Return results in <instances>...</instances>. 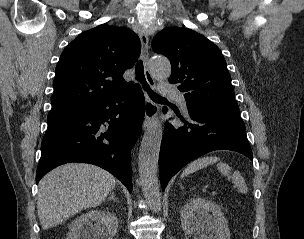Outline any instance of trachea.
<instances>
[{
	"label": "trachea",
	"mask_w": 304,
	"mask_h": 239,
	"mask_svg": "<svg viewBox=\"0 0 304 239\" xmlns=\"http://www.w3.org/2000/svg\"><path fill=\"white\" fill-rule=\"evenodd\" d=\"M135 70H136V79L142 84L143 88L145 89V91H147L148 95L151 97L152 100L156 102L167 101L165 98L161 97L160 95L152 91V89L148 85L144 77L143 64L141 60L137 62Z\"/></svg>",
	"instance_id": "1"
}]
</instances>
